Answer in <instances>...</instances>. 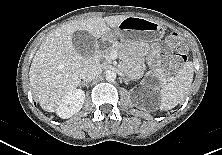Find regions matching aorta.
I'll return each instance as SVG.
<instances>
[{
	"instance_id": "obj_1",
	"label": "aorta",
	"mask_w": 222,
	"mask_h": 155,
	"mask_svg": "<svg viewBox=\"0 0 222 155\" xmlns=\"http://www.w3.org/2000/svg\"><path fill=\"white\" fill-rule=\"evenodd\" d=\"M105 78L108 82H113L116 79V73L113 70L106 71Z\"/></svg>"
}]
</instances>
